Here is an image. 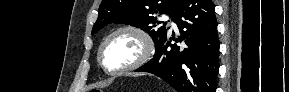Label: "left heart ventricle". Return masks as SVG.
<instances>
[{
    "label": "left heart ventricle",
    "instance_id": "b2bd125f",
    "mask_svg": "<svg viewBox=\"0 0 289 92\" xmlns=\"http://www.w3.org/2000/svg\"><path fill=\"white\" fill-rule=\"evenodd\" d=\"M141 53L139 40L129 34L121 33L113 37L103 51V63L110 70H116L133 63Z\"/></svg>",
    "mask_w": 289,
    "mask_h": 92
}]
</instances>
